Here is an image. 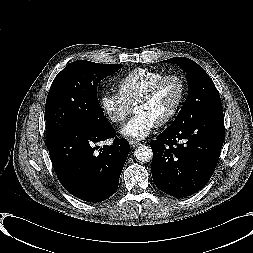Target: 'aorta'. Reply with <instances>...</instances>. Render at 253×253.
<instances>
[{
  "label": "aorta",
  "instance_id": "1",
  "mask_svg": "<svg viewBox=\"0 0 253 253\" xmlns=\"http://www.w3.org/2000/svg\"><path fill=\"white\" fill-rule=\"evenodd\" d=\"M134 156L141 162H148L152 159L153 152L150 147L141 145L135 150Z\"/></svg>",
  "mask_w": 253,
  "mask_h": 253
}]
</instances>
